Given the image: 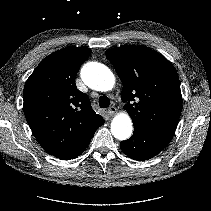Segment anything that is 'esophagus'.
Here are the masks:
<instances>
[{
  "label": "esophagus",
  "mask_w": 211,
  "mask_h": 211,
  "mask_svg": "<svg viewBox=\"0 0 211 211\" xmlns=\"http://www.w3.org/2000/svg\"><path fill=\"white\" fill-rule=\"evenodd\" d=\"M116 113H117V108H116V107L111 106V107L108 109V114H109L110 116H113V115H115Z\"/></svg>",
  "instance_id": "esophagus-1"
}]
</instances>
